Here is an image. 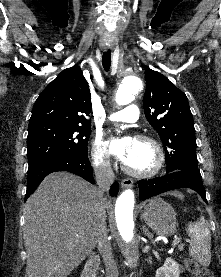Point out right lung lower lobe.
Here are the masks:
<instances>
[{"label": "right lung lower lobe", "instance_id": "98d812e1", "mask_svg": "<svg viewBox=\"0 0 221 277\" xmlns=\"http://www.w3.org/2000/svg\"><path fill=\"white\" fill-rule=\"evenodd\" d=\"M56 171H68L81 176L91 183H94L92 177V167L87 154H76L65 159L46 163L34 171L29 172L25 200L35 191L41 181L48 174ZM118 190L119 184L117 182L113 183L110 189V195L116 196Z\"/></svg>", "mask_w": 221, "mask_h": 277}]
</instances>
